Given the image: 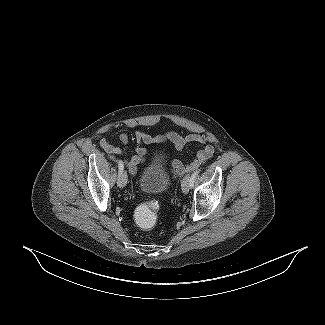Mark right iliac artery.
<instances>
[{
	"mask_svg": "<svg viewBox=\"0 0 325 325\" xmlns=\"http://www.w3.org/2000/svg\"><path fill=\"white\" fill-rule=\"evenodd\" d=\"M118 168H119V174L122 173V171L124 169V165H123L122 161H118Z\"/></svg>",
	"mask_w": 325,
	"mask_h": 325,
	"instance_id": "right-iliac-artery-1",
	"label": "right iliac artery"
}]
</instances>
